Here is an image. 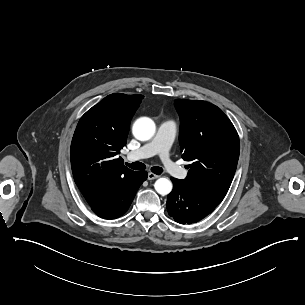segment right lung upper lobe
I'll return each instance as SVG.
<instances>
[{
    "label": "right lung upper lobe",
    "instance_id": "cb5924a9",
    "mask_svg": "<svg viewBox=\"0 0 305 305\" xmlns=\"http://www.w3.org/2000/svg\"><path fill=\"white\" fill-rule=\"evenodd\" d=\"M143 97L108 95L78 122L70 149L71 168L89 204L103 199L136 173L115 155L126 145L131 118Z\"/></svg>",
    "mask_w": 305,
    "mask_h": 305
}]
</instances>
